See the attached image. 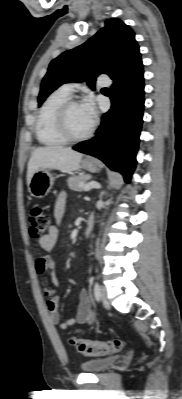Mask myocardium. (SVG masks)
<instances>
[{"instance_id": "obj_1", "label": "myocardium", "mask_w": 182, "mask_h": 399, "mask_svg": "<svg viewBox=\"0 0 182 399\" xmlns=\"http://www.w3.org/2000/svg\"><path fill=\"white\" fill-rule=\"evenodd\" d=\"M79 104V101L74 98H69L66 100L58 109L57 115H56V125L59 134L63 139H65L67 142H82L87 140L88 138L91 137L95 130V122L93 121L90 128L86 133L80 136H75L70 132L69 126H68V112L70 108L75 105Z\"/></svg>"}]
</instances>
